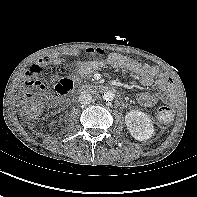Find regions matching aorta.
Listing matches in <instances>:
<instances>
[{"mask_svg": "<svg viewBox=\"0 0 197 197\" xmlns=\"http://www.w3.org/2000/svg\"><path fill=\"white\" fill-rule=\"evenodd\" d=\"M115 94L112 91H106L103 93L102 98L105 101H112L114 99Z\"/></svg>", "mask_w": 197, "mask_h": 197, "instance_id": "762f6f07", "label": "aorta"}]
</instances>
